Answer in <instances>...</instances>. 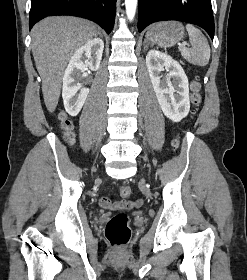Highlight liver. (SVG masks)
<instances>
[{
    "mask_svg": "<svg viewBox=\"0 0 247 280\" xmlns=\"http://www.w3.org/2000/svg\"><path fill=\"white\" fill-rule=\"evenodd\" d=\"M32 53L42 79L46 108L54 112L60 97L65 67L74 52L98 35L96 25L70 16L47 17L31 31Z\"/></svg>",
    "mask_w": 247,
    "mask_h": 280,
    "instance_id": "obj_1",
    "label": "liver"
}]
</instances>
